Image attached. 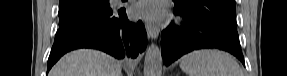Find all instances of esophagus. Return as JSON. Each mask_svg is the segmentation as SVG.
<instances>
[{"label":"esophagus","instance_id":"34e87169","mask_svg":"<svg viewBox=\"0 0 287 76\" xmlns=\"http://www.w3.org/2000/svg\"><path fill=\"white\" fill-rule=\"evenodd\" d=\"M145 28H146V31H147L149 38H152V39L158 38L159 28L156 25H154L150 22H145Z\"/></svg>","mask_w":287,"mask_h":76}]
</instances>
